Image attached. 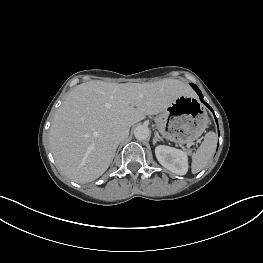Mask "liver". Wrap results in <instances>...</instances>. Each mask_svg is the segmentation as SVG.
Here are the masks:
<instances>
[{"label":"liver","mask_w":263,"mask_h":263,"mask_svg":"<svg viewBox=\"0 0 263 263\" xmlns=\"http://www.w3.org/2000/svg\"><path fill=\"white\" fill-rule=\"evenodd\" d=\"M190 93L186 84L174 79L79 84L58 108L50 128L51 151L59 169L77 183L96 180L114 157L117 144L111 134L115 127L129 128Z\"/></svg>","instance_id":"obj_1"}]
</instances>
